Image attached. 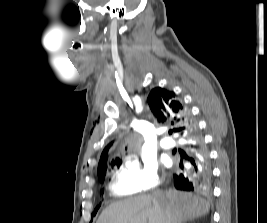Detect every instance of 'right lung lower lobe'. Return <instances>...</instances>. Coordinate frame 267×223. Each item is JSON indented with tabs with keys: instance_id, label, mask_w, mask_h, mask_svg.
Wrapping results in <instances>:
<instances>
[{
	"instance_id": "98d812e1",
	"label": "right lung lower lobe",
	"mask_w": 267,
	"mask_h": 223,
	"mask_svg": "<svg viewBox=\"0 0 267 223\" xmlns=\"http://www.w3.org/2000/svg\"><path fill=\"white\" fill-rule=\"evenodd\" d=\"M184 139L188 151L185 158L191 166L181 167L173 173L174 186L186 191L203 190L211 183L212 171L208 151L196 124Z\"/></svg>"
}]
</instances>
